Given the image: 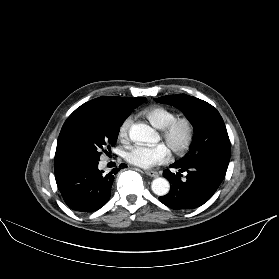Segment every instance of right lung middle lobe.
Returning a JSON list of instances; mask_svg holds the SVG:
<instances>
[{"mask_svg":"<svg viewBox=\"0 0 279 279\" xmlns=\"http://www.w3.org/2000/svg\"><path fill=\"white\" fill-rule=\"evenodd\" d=\"M146 98H143L144 102ZM131 109L101 111L75 120L65 131L60 144L64 162L99 161L105 149L116 144L120 126Z\"/></svg>","mask_w":279,"mask_h":279,"instance_id":"dd1d6c3e","label":"right lung middle lobe"}]
</instances>
